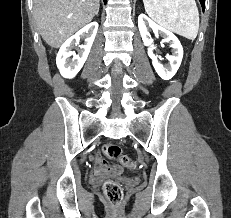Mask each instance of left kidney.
I'll return each mask as SVG.
<instances>
[{
	"label": "left kidney",
	"mask_w": 231,
	"mask_h": 218,
	"mask_svg": "<svg viewBox=\"0 0 231 218\" xmlns=\"http://www.w3.org/2000/svg\"><path fill=\"white\" fill-rule=\"evenodd\" d=\"M138 27L143 40V43L148 47V56L152 59V64L158 75L168 80L172 78L180 67L183 58V48L178 38L168 29L156 24L147 15L140 14L138 17ZM149 28L153 30L156 35L163 37V41L170 43L172 47V55L167 56L170 62L169 67H165L159 63L157 55L154 53L153 39L149 37Z\"/></svg>",
	"instance_id": "left-kidney-1"
}]
</instances>
